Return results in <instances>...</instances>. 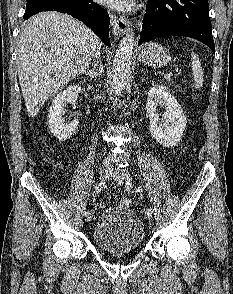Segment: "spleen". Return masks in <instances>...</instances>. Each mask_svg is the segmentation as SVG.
<instances>
[{
  "label": "spleen",
  "mask_w": 233,
  "mask_h": 294,
  "mask_svg": "<svg viewBox=\"0 0 233 294\" xmlns=\"http://www.w3.org/2000/svg\"><path fill=\"white\" fill-rule=\"evenodd\" d=\"M191 67L192 75L194 77V87L200 89L203 84V70L199 61V57L196 53H191Z\"/></svg>",
  "instance_id": "obj_1"
}]
</instances>
